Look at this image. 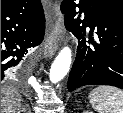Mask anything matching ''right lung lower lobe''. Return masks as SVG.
Here are the masks:
<instances>
[{"mask_svg": "<svg viewBox=\"0 0 123 113\" xmlns=\"http://www.w3.org/2000/svg\"><path fill=\"white\" fill-rule=\"evenodd\" d=\"M45 17L40 0H14L1 7V81L19 68L27 50L44 37Z\"/></svg>", "mask_w": 123, "mask_h": 113, "instance_id": "right-lung-lower-lobe-1", "label": "right lung lower lobe"}]
</instances>
